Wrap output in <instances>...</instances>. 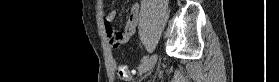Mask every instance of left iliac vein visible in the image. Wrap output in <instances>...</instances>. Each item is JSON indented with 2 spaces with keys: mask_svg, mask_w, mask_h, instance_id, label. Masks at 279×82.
Returning a JSON list of instances; mask_svg holds the SVG:
<instances>
[{
  "mask_svg": "<svg viewBox=\"0 0 279 82\" xmlns=\"http://www.w3.org/2000/svg\"><path fill=\"white\" fill-rule=\"evenodd\" d=\"M157 62V54H152L150 58H148L146 61L142 62L139 68L140 73H146L149 70H151Z\"/></svg>",
  "mask_w": 279,
  "mask_h": 82,
  "instance_id": "4c4485c4",
  "label": "left iliac vein"
}]
</instances>
